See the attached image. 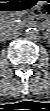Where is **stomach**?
<instances>
[{"label":"stomach","mask_w":50,"mask_h":111,"mask_svg":"<svg viewBox=\"0 0 50 111\" xmlns=\"http://www.w3.org/2000/svg\"><path fill=\"white\" fill-rule=\"evenodd\" d=\"M42 5L41 0H4L0 10L6 16H20L31 12Z\"/></svg>","instance_id":"0dacf381"}]
</instances>
